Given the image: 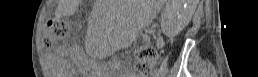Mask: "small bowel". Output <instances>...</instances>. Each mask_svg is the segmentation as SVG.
I'll list each match as a JSON object with an SVG mask.
<instances>
[{"label":"small bowel","instance_id":"c3829d8e","mask_svg":"<svg viewBox=\"0 0 258 77\" xmlns=\"http://www.w3.org/2000/svg\"><path fill=\"white\" fill-rule=\"evenodd\" d=\"M162 43H163V42H162L161 39H159V40L157 41V44H158V45H162Z\"/></svg>","mask_w":258,"mask_h":77}]
</instances>
